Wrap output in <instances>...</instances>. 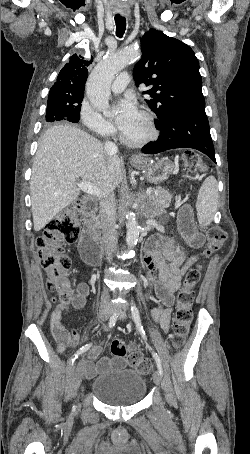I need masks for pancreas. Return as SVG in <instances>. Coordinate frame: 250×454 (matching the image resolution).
<instances>
[{
	"label": "pancreas",
	"mask_w": 250,
	"mask_h": 454,
	"mask_svg": "<svg viewBox=\"0 0 250 454\" xmlns=\"http://www.w3.org/2000/svg\"><path fill=\"white\" fill-rule=\"evenodd\" d=\"M152 199L157 205L166 207L170 204L171 196L161 188H158Z\"/></svg>",
	"instance_id": "cf45deb5"
}]
</instances>
